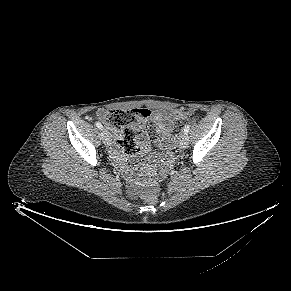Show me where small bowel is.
Here are the masks:
<instances>
[{"label": "small bowel", "instance_id": "1", "mask_svg": "<svg viewBox=\"0 0 291 291\" xmlns=\"http://www.w3.org/2000/svg\"><path fill=\"white\" fill-rule=\"evenodd\" d=\"M152 121L156 132L155 144L158 148L166 151V155L162 157L155 153L150 154V142L148 136L144 131L139 130L136 139L140 145V155L147 158L148 163L138 175L136 183L153 180L158 174L169 167L172 162L170 150L173 147V120L165 111L156 110L152 113ZM115 158L119 163H124L128 157L126 155L115 153ZM127 172L131 174L129 170H127Z\"/></svg>", "mask_w": 291, "mask_h": 291}]
</instances>
